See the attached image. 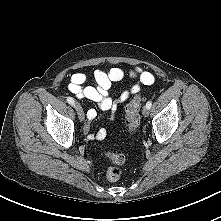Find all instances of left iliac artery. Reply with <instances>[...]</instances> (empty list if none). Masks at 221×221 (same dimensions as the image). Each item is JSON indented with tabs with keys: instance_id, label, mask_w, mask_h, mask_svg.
<instances>
[{
	"instance_id": "obj_1",
	"label": "left iliac artery",
	"mask_w": 221,
	"mask_h": 221,
	"mask_svg": "<svg viewBox=\"0 0 221 221\" xmlns=\"http://www.w3.org/2000/svg\"><path fill=\"white\" fill-rule=\"evenodd\" d=\"M151 106H152V101H148V102L146 103V107H147L148 109H150Z\"/></svg>"
}]
</instances>
